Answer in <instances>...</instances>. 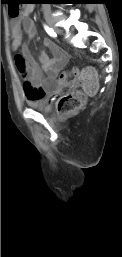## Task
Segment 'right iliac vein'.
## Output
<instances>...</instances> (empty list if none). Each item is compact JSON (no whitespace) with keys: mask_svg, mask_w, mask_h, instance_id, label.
Listing matches in <instances>:
<instances>
[{"mask_svg":"<svg viewBox=\"0 0 122 257\" xmlns=\"http://www.w3.org/2000/svg\"><path fill=\"white\" fill-rule=\"evenodd\" d=\"M46 22L48 23V25L50 27L55 29L57 32H61V30L58 27H56L55 22H54V20L51 17H49V16L46 17Z\"/></svg>","mask_w":122,"mask_h":257,"instance_id":"obj_1","label":"right iliac vein"}]
</instances>
